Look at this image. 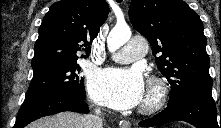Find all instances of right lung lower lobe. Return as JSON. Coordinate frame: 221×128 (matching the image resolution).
Here are the masks:
<instances>
[{
	"mask_svg": "<svg viewBox=\"0 0 221 128\" xmlns=\"http://www.w3.org/2000/svg\"><path fill=\"white\" fill-rule=\"evenodd\" d=\"M86 96L67 90H52L25 98L16 118L14 128H23L30 122L62 111L89 113Z\"/></svg>",
	"mask_w": 221,
	"mask_h": 128,
	"instance_id": "obj_1",
	"label": "right lung lower lobe"
}]
</instances>
